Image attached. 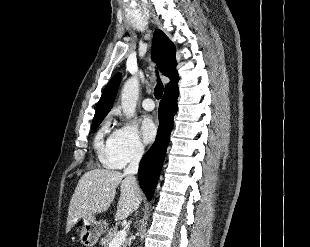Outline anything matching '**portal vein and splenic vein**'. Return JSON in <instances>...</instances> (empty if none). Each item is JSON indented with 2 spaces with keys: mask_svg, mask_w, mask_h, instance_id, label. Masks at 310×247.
I'll list each match as a JSON object with an SVG mask.
<instances>
[{
  "mask_svg": "<svg viewBox=\"0 0 310 247\" xmlns=\"http://www.w3.org/2000/svg\"><path fill=\"white\" fill-rule=\"evenodd\" d=\"M126 239V231L121 230L116 234V236L112 239L109 244V247H120Z\"/></svg>",
  "mask_w": 310,
  "mask_h": 247,
  "instance_id": "18ae733b",
  "label": "portal vein and splenic vein"
}]
</instances>
